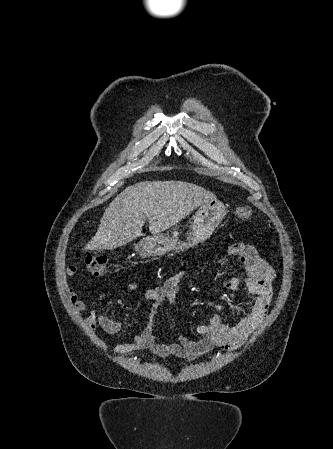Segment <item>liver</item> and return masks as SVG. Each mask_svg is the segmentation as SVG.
Listing matches in <instances>:
<instances>
[{
    "label": "liver",
    "mask_w": 333,
    "mask_h": 449,
    "mask_svg": "<svg viewBox=\"0 0 333 449\" xmlns=\"http://www.w3.org/2000/svg\"><path fill=\"white\" fill-rule=\"evenodd\" d=\"M216 196L201 186L182 181H144L127 187L107 207L90 250H112L142 235L146 219L153 235L177 224Z\"/></svg>",
    "instance_id": "obj_1"
}]
</instances>
